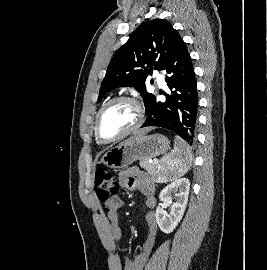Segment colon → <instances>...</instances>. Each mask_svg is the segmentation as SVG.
<instances>
[{"mask_svg":"<svg viewBox=\"0 0 267 270\" xmlns=\"http://www.w3.org/2000/svg\"><path fill=\"white\" fill-rule=\"evenodd\" d=\"M96 195L102 202L114 197L120 189L119 179L108 170H98L95 174Z\"/></svg>","mask_w":267,"mask_h":270,"instance_id":"1","label":"colon"}]
</instances>
